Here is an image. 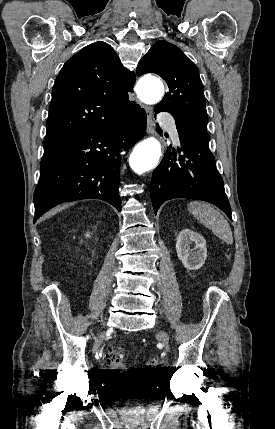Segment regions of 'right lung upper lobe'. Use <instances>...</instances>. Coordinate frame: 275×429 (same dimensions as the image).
<instances>
[{
    "label": "right lung upper lobe",
    "instance_id": "cb5924a9",
    "mask_svg": "<svg viewBox=\"0 0 275 429\" xmlns=\"http://www.w3.org/2000/svg\"><path fill=\"white\" fill-rule=\"evenodd\" d=\"M134 72L120 62L113 48L95 42L62 67L53 89L44 147L78 133L110 125L133 108Z\"/></svg>",
    "mask_w": 275,
    "mask_h": 429
}]
</instances>
